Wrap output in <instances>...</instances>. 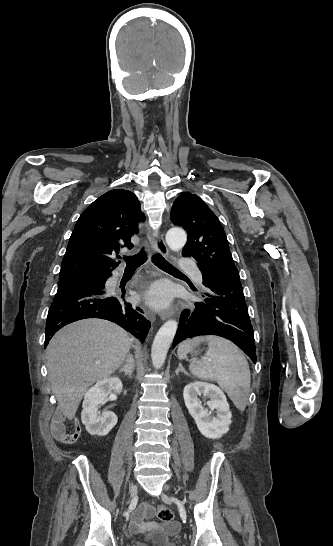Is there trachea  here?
Listing matches in <instances>:
<instances>
[{"label": "trachea", "mask_w": 333, "mask_h": 546, "mask_svg": "<svg viewBox=\"0 0 333 546\" xmlns=\"http://www.w3.org/2000/svg\"><path fill=\"white\" fill-rule=\"evenodd\" d=\"M147 259V254L144 250H141L134 256L124 257L126 261V268L136 269L142 265ZM152 261L156 266L166 272L181 273L177 268L167 262L162 255L156 254L152 257Z\"/></svg>", "instance_id": "trachea-1"}]
</instances>
